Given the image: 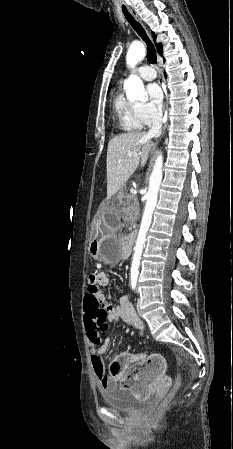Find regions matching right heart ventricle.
<instances>
[{"instance_id": "e07e8e85", "label": "right heart ventricle", "mask_w": 233, "mask_h": 449, "mask_svg": "<svg viewBox=\"0 0 233 449\" xmlns=\"http://www.w3.org/2000/svg\"><path fill=\"white\" fill-rule=\"evenodd\" d=\"M113 111L121 130L137 132L142 129L143 122L137 114V104L126 99L121 92L114 98Z\"/></svg>"}]
</instances>
